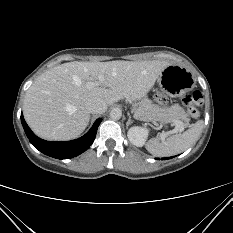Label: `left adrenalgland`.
I'll list each match as a JSON object with an SVG mask.
<instances>
[{"mask_svg": "<svg viewBox=\"0 0 233 233\" xmlns=\"http://www.w3.org/2000/svg\"><path fill=\"white\" fill-rule=\"evenodd\" d=\"M132 123V120H131V115L130 113H128V121L126 123V128H128V126Z\"/></svg>", "mask_w": 233, "mask_h": 233, "instance_id": "1", "label": "left adrenal gland"}]
</instances>
